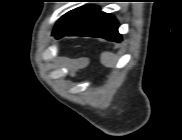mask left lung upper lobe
<instances>
[{
  "label": "left lung upper lobe",
  "instance_id": "5c2ea615",
  "mask_svg": "<svg viewBox=\"0 0 182 140\" xmlns=\"http://www.w3.org/2000/svg\"><path fill=\"white\" fill-rule=\"evenodd\" d=\"M97 9V6L87 5L69 11L57 21L52 35L56 38H61L67 31L72 29L74 26H76L78 23H80L83 19H85Z\"/></svg>",
  "mask_w": 182,
  "mask_h": 140
}]
</instances>
